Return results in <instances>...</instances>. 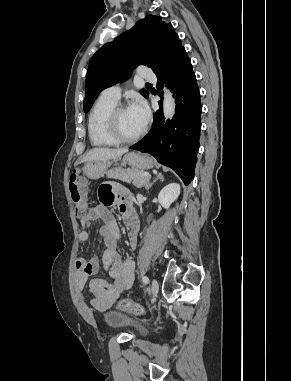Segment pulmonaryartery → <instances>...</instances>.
<instances>
[{
  "label": "pulmonary artery",
  "instance_id": "1",
  "mask_svg": "<svg viewBox=\"0 0 291 381\" xmlns=\"http://www.w3.org/2000/svg\"><path fill=\"white\" fill-rule=\"evenodd\" d=\"M138 71H139L140 77L143 80H146L149 82H155L156 81V76H155L154 72L148 66H145V65L140 66L138 68ZM120 94H121L120 86L115 85V86H111V87L104 89L101 96L118 101L120 98Z\"/></svg>",
  "mask_w": 291,
  "mask_h": 381
}]
</instances>
